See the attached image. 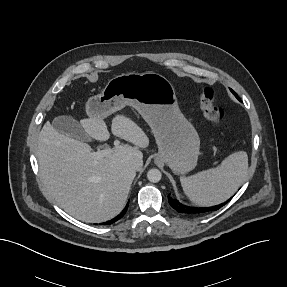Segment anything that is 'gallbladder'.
Listing matches in <instances>:
<instances>
[{
    "mask_svg": "<svg viewBox=\"0 0 287 287\" xmlns=\"http://www.w3.org/2000/svg\"><path fill=\"white\" fill-rule=\"evenodd\" d=\"M52 125L58 132L66 136L73 137L81 141H88L89 139L81 124L71 116H58L54 118Z\"/></svg>",
    "mask_w": 287,
    "mask_h": 287,
    "instance_id": "gallbladder-1",
    "label": "gallbladder"
}]
</instances>
